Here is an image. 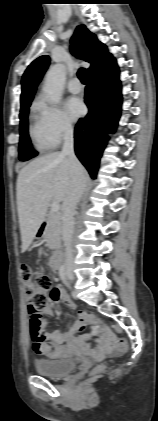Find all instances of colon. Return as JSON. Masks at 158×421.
Masks as SVG:
<instances>
[{
    "instance_id": "obj_1",
    "label": "colon",
    "mask_w": 158,
    "mask_h": 421,
    "mask_svg": "<svg viewBox=\"0 0 158 421\" xmlns=\"http://www.w3.org/2000/svg\"><path fill=\"white\" fill-rule=\"evenodd\" d=\"M21 272L27 294L30 322L32 325H37L40 321V311L48 303L47 291L51 282L46 275L35 270L29 264H22ZM90 326L93 331H99L102 328V323L92 318ZM114 346L118 353H124L127 350V343L124 339H114ZM100 369L97 370L100 371Z\"/></svg>"
}]
</instances>
